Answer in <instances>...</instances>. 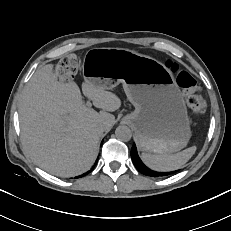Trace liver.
Masks as SVG:
<instances>
[{
  "label": "liver",
  "instance_id": "6515ba94",
  "mask_svg": "<svg viewBox=\"0 0 231 231\" xmlns=\"http://www.w3.org/2000/svg\"><path fill=\"white\" fill-rule=\"evenodd\" d=\"M53 67L48 64L37 70L22 92L21 137L39 167L53 175L73 177L93 165L100 137L115 124L114 115L108 112L119 109L121 100L84 78L82 91L102 109L97 112L84 104L75 82L58 81Z\"/></svg>",
  "mask_w": 231,
  "mask_h": 231
}]
</instances>
